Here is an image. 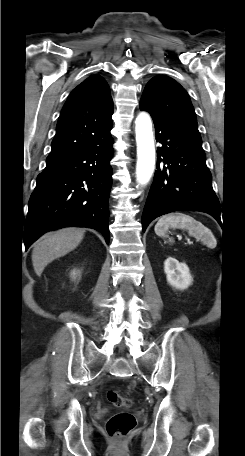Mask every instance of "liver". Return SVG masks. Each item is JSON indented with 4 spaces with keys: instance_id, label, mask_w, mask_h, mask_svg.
Masks as SVG:
<instances>
[{
    "instance_id": "6515ba94",
    "label": "liver",
    "mask_w": 245,
    "mask_h": 456,
    "mask_svg": "<svg viewBox=\"0 0 245 456\" xmlns=\"http://www.w3.org/2000/svg\"><path fill=\"white\" fill-rule=\"evenodd\" d=\"M84 232L83 229L71 227L43 235L36 242L32 251L35 273L41 276L49 263L74 250L82 241Z\"/></svg>"
}]
</instances>
